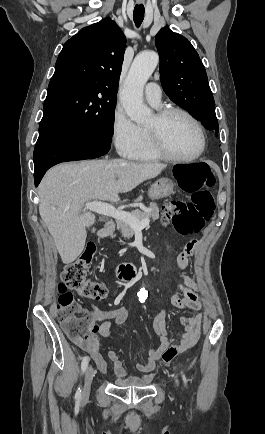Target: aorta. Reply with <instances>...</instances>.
I'll use <instances>...</instances> for the list:
<instances>
[{"label":"aorta","instance_id":"762f6f07","mask_svg":"<svg viewBox=\"0 0 265 434\" xmlns=\"http://www.w3.org/2000/svg\"><path fill=\"white\" fill-rule=\"evenodd\" d=\"M158 62L156 52H142L134 58L125 78L120 100L127 116L136 124H146L151 118L150 108L143 104V90Z\"/></svg>","mask_w":265,"mask_h":434}]
</instances>
